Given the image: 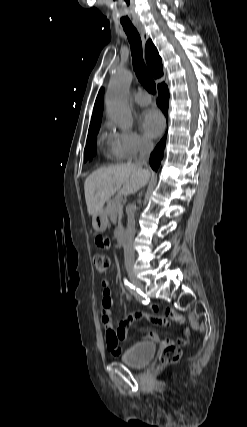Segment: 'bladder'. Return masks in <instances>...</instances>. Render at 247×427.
Listing matches in <instances>:
<instances>
[{"label":"bladder","mask_w":247,"mask_h":427,"mask_svg":"<svg viewBox=\"0 0 247 427\" xmlns=\"http://www.w3.org/2000/svg\"><path fill=\"white\" fill-rule=\"evenodd\" d=\"M156 352V345L153 342H138L124 351L120 360L130 367H143L147 365Z\"/></svg>","instance_id":"1"}]
</instances>
